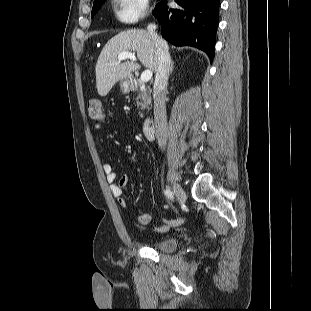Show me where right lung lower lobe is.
I'll list each match as a JSON object with an SVG mask.
<instances>
[{"instance_id": "1", "label": "right lung lower lobe", "mask_w": 311, "mask_h": 311, "mask_svg": "<svg viewBox=\"0 0 311 311\" xmlns=\"http://www.w3.org/2000/svg\"><path fill=\"white\" fill-rule=\"evenodd\" d=\"M176 9L159 2L153 14L161 24L162 36L177 46H193L214 58L220 0H175Z\"/></svg>"}]
</instances>
